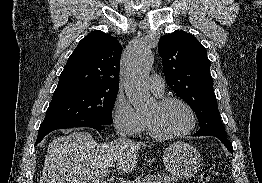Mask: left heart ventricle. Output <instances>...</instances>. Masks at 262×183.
Wrapping results in <instances>:
<instances>
[{
  "label": "left heart ventricle",
  "mask_w": 262,
  "mask_h": 183,
  "mask_svg": "<svg viewBox=\"0 0 262 183\" xmlns=\"http://www.w3.org/2000/svg\"><path fill=\"white\" fill-rule=\"evenodd\" d=\"M154 127L163 134H177L187 130L191 125L188 110L178 103L159 107L157 103L146 113Z\"/></svg>",
  "instance_id": "obj_1"
}]
</instances>
